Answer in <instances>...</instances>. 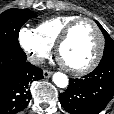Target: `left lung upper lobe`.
Instances as JSON below:
<instances>
[{
  "mask_svg": "<svg viewBox=\"0 0 114 114\" xmlns=\"http://www.w3.org/2000/svg\"><path fill=\"white\" fill-rule=\"evenodd\" d=\"M97 24L105 37L104 54L100 63L114 62V41L98 22Z\"/></svg>",
  "mask_w": 114,
  "mask_h": 114,
  "instance_id": "5c2ea615",
  "label": "left lung upper lobe"
}]
</instances>
